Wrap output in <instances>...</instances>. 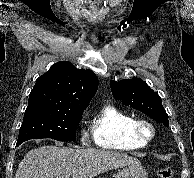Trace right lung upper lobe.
Masks as SVG:
<instances>
[{
  "instance_id": "obj_1",
  "label": "right lung upper lobe",
  "mask_w": 194,
  "mask_h": 178,
  "mask_svg": "<svg viewBox=\"0 0 194 178\" xmlns=\"http://www.w3.org/2000/svg\"><path fill=\"white\" fill-rule=\"evenodd\" d=\"M97 88L98 79L93 71L80 70L68 61H60L36 79L29 101L46 100L69 109L84 110Z\"/></svg>"
}]
</instances>
